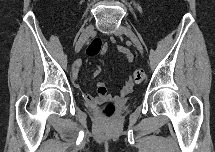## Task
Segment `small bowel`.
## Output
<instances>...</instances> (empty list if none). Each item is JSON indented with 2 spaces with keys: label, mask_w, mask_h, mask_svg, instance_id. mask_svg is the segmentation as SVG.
<instances>
[{
  "label": "small bowel",
  "mask_w": 215,
  "mask_h": 152,
  "mask_svg": "<svg viewBox=\"0 0 215 152\" xmlns=\"http://www.w3.org/2000/svg\"><path fill=\"white\" fill-rule=\"evenodd\" d=\"M110 41H111V43L113 45H115L116 49L126 57L128 62L133 61V54L131 53V51L128 48H126L125 46H123L121 44H118L114 38H111ZM106 48H107L106 45H104L103 51H106ZM79 67H80V64L77 63L75 68H74V70H73L72 77H73L74 80L77 79ZM100 73H101V69L97 68L96 70H94L93 75L95 77H97V76L100 75ZM132 89H133V82L130 79H128L124 83V85H123V87L121 89L120 97L127 96L132 91ZM96 90H97V95L96 96L90 95L88 93L83 94L85 100L91 105H94L97 102L108 98L106 86H105V84L103 82H98L96 84Z\"/></svg>",
  "instance_id": "small-bowel-1"
}]
</instances>
